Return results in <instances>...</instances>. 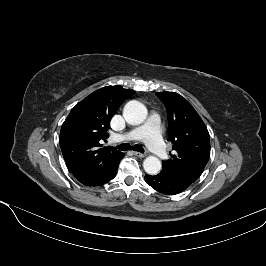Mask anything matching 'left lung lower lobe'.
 Wrapping results in <instances>:
<instances>
[{
  "instance_id": "0a47b994",
  "label": "left lung lower lobe",
  "mask_w": 266,
  "mask_h": 266,
  "mask_svg": "<svg viewBox=\"0 0 266 266\" xmlns=\"http://www.w3.org/2000/svg\"><path fill=\"white\" fill-rule=\"evenodd\" d=\"M145 181L153 189L167 195H176L187 189V187L177 183L162 172L155 176L145 175Z\"/></svg>"
}]
</instances>
